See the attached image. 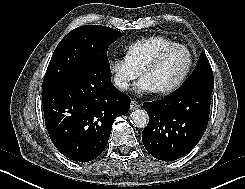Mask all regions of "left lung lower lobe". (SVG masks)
Masks as SVG:
<instances>
[{
    "instance_id": "left-lung-lower-lobe-1",
    "label": "left lung lower lobe",
    "mask_w": 245,
    "mask_h": 189,
    "mask_svg": "<svg viewBox=\"0 0 245 189\" xmlns=\"http://www.w3.org/2000/svg\"><path fill=\"white\" fill-rule=\"evenodd\" d=\"M212 91L205 86L189 85L159 101L144 103L149 115L142 132L146 150L163 161L176 160L190 152L206 130Z\"/></svg>"
}]
</instances>
